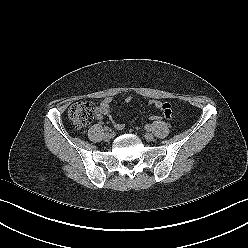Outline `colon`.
Wrapping results in <instances>:
<instances>
[{
    "label": "colon",
    "mask_w": 248,
    "mask_h": 248,
    "mask_svg": "<svg viewBox=\"0 0 248 248\" xmlns=\"http://www.w3.org/2000/svg\"><path fill=\"white\" fill-rule=\"evenodd\" d=\"M68 115L76 128H83L90 124L94 117V105L90 101H79L72 104L68 110ZM152 122L162 119L159 115H151Z\"/></svg>",
    "instance_id": "colon-1"
}]
</instances>
